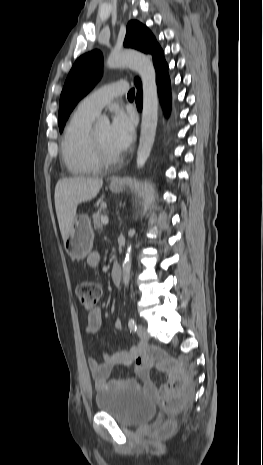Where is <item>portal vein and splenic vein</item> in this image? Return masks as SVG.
Here are the masks:
<instances>
[{
  "instance_id": "portal-vein-and-splenic-vein-1",
  "label": "portal vein and splenic vein",
  "mask_w": 263,
  "mask_h": 465,
  "mask_svg": "<svg viewBox=\"0 0 263 465\" xmlns=\"http://www.w3.org/2000/svg\"><path fill=\"white\" fill-rule=\"evenodd\" d=\"M101 222H102V224L107 225L108 222H109L108 217H107V216H103V217L101 218Z\"/></svg>"
}]
</instances>
